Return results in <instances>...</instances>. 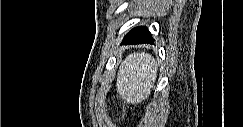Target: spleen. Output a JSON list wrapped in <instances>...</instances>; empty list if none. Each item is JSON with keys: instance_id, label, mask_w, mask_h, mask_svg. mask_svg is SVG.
I'll return each mask as SVG.
<instances>
[{"instance_id": "1", "label": "spleen", "mask_w": 243, "mask_h": 127, "mask_svg": "<svg viewBox=\"0 0 243 127\" xmlns=\"http://www.w3.org/2000/svg\"><path fill=\"white\" fill-rule=\"evenodd\" d=\"M156 78L157 63L150 54H130L119 68L117 93L127 103H140L150 95Z\"/></svg>"}]
</instances>
